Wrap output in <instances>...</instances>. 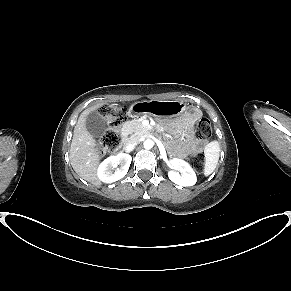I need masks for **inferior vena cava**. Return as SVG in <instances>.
Instances as JSON below:
<instances>
[{
    "instance_id": "1",
    "label": "inferior vena cava",
    "mask_w": 291,
    "mask_h": 291,
    "mask_svg": "<svg viewBox=\"0 0 291 291\" xmlns=\"http://www.w3.org/2000/svg\"><path fill=\"white\" fill-rule=\"evenodd\" d=\"M138 145V140L137 139H132L128 142V144L125 147L126 152H131L135 149V147Z\"/></svg>"
}]
</instances>
